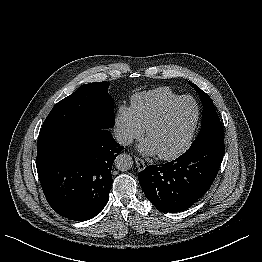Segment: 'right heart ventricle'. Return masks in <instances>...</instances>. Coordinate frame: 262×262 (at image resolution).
<instances>
[{
    "mask_svg": "<svg viewBox=\"0 0 262 262\" xmlns=\"http://www.w3.org/2000/svg\"><path fill=\"white\" fill-rule=\"evenodd\" d=\"M181 97L168 87L135 94L131 99V110L138 123L146 129L157 115L171 102Z\"/></svg>",
    "mask_w": 262,
    "mask_h": 262,
    "instance_id": "e07e8e85",
    "label": "right heart ventricle"
}]
</instances>
